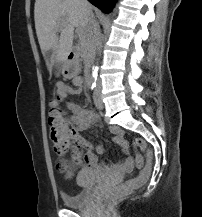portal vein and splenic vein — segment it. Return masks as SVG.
Listing matches in <instances>:
<instances>
[{
	"mask_svg": "<svg viewBox=\"0 0 202 217\" xmlns=\"http://www.w3.org/2000/svg\"><path fill=\"white\" fill-rule=\"evenodd\" d=\"M82 31L78 30V33H81Z\"/></svg>",
	"mask_w": 202,
	"mask_h": 217,
	"instance_id": "18ae733b",
	"label": "portal vein and splenic vein"
}]
</instances>
